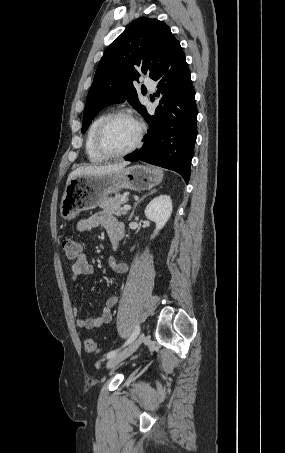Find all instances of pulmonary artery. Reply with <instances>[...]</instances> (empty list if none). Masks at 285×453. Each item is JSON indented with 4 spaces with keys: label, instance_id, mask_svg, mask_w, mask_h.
I'll return each instance as SVG.
<instances>
[{
    "label": "pulmonary artery",
    "instance_id": "1",
    "mask_svg": "<svg viewBox=\"0 0 285 453\" xmlns=\"http://www.w3.org/2000/svg\"><path fill=\"white\" fill-rule=\"evenodd\" d=\"M145 84H146V86H147L150 90H152V91H154L155 88H156V84H155V82H154L153 80L147 79V80L145 81Z\"/></svg>",
    "mask_w": 285,
    "mask_h": 453
}]
</instances>
